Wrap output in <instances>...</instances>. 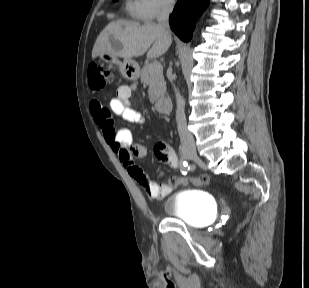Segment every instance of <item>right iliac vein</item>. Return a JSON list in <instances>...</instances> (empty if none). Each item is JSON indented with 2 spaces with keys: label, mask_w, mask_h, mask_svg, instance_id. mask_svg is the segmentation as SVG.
Returning a JSON list of instances; mask_svg holds the SVG:
<instances>
[{
  "label": "right iliac vein",
  "mask_w": 309,
  "mask_h": 288,
  "mask_svg": "<svg viewBox=\"0 0 309 288\" xmlns=\"http://www.w3.org/2000/svg\"><path fill=\"white\" fill-rule=\"evenodd\" d=\"M193 154H195V149L194 148H188V149H186L185 151H184V156L186 157V156H191V155H193Z\"/></svg>",
  "instance_id": "1"
}]
</instances>
